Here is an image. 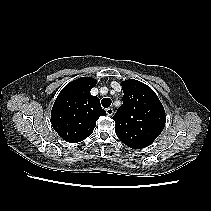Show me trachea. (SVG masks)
I'll list each match as a JSON object with an SVG mask.
<instances>
[{"mask_svg":"<svg viewBox=\"0 0 211 211\" xmlns=\"http://www.w3.org/2000/svg\"><path fill=\"white\" fill-rule=\"evenodd\" d=\"M111 103H112V101H111L110 98H104V99H102V101H101V104H102V106H103L104 108L110 107Z\"/></svg>","mask_w":211,"mask_h":211,"instance_id":"obj_1","label":"trachea"}]
</instances>
